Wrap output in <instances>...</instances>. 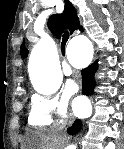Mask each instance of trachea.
<instances>
[{
  "instance_id": "trachea-1",
  "label": "trachea",
  "mask_w": 124,
  "mask_h": 149,
  "mask_svg": "<svg viewBox=\"0 0 124 149\" xmlns=\"http://www.w3.org/2000/svg\"><path fill=\"white\" fill-rule=\"evenodd\" d=\"M69 38V33L66 32L64 35H63V42H66Z\"/></svg>"
}]
</instances>
